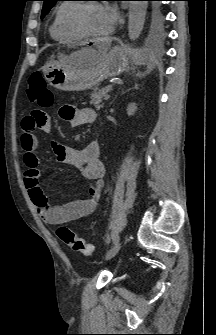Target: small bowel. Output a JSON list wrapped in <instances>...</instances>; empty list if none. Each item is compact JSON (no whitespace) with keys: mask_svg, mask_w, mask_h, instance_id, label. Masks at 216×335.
Masks as SVG:
<instances>
[{"mask_svg":"<svg viewBox=\"0 0 216 335\" xmlns=\"http://www.w3.org/2000/svg\"><path fill=\"white\" fill-rule=\"evenodd\" d=\"M62 118L72 127H79L95 121L96 113L90 108L78 109L71 105L61 108ZM46 108H33L29 117L22 122L20 144L24 151L23 161L26 166L25 185L30 198L45 223L60 225L88 216L97 208L103 188L104 165L100 159V146L97 140H91L81 149L76 150L59 142H53L55 156L61 162L79 168L83 176L92 182L89 196L63 205L51 206L40 184L39 158L36 154L39 141L37 130L50 133L52 125Z\"/></svg>","mask_w":216,"mask_h":335,"instance_id":"obj_1","label":"small bowel"}]
</instances>
